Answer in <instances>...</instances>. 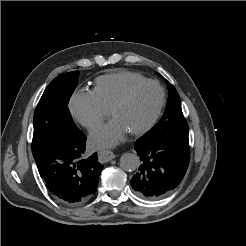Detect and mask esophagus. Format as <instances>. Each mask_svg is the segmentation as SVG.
Returning a JSON list of instances; mask_svg holds the SVG:
<instances>
[{
  "label": "esophagus",
  "instance_id": "obj_1",
  "mask_svg": "<svg viewBox=\"0 0 246 246\" xmlns=\"http://www.w3.org/2000/svg\"><path fill=\"white\" fill-rule=\"evenodd\" d=\"M115 158V154L109 150L99 152V160L103 163L108 162Z\"/></svg>",
  "mask_w": 246,
  "mask_h": 246
}]
</instances>
